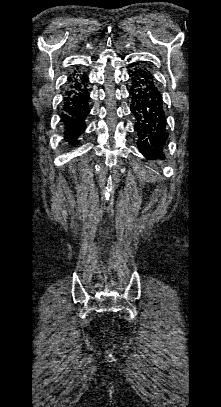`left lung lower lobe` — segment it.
<instances>
[{
	"label": "left lung lower lobe",
	"mask_w": 221,
	"mask_h": 407,
	"mask_svg": "<svg viewBox=\"0 0 221 407\" xmlns=\"http://www.w3.org/2000/svg\"><path fill=\"white\" fill-rule=\"evenodd\" d=\"M130 77V108L136 120L138 149L147 158L160 157L168 139L161 91L153 73L144 65L136 64Z\"/></svg>",
	"instance_id": "1"
}]
</instances>
